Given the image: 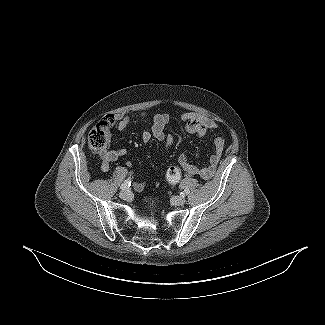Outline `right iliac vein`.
Listing matches in <instances>:
<instances>
[{"mask_svg": "<svg viewBox=\"0 0 325 325\" xmlns=\"http://www.w3.org/2000/svg\"><path fill=\"white\" fill-rule=\"evenodd\" d=\"M120 197H121L123 200H130L131 197H132V195H131L130 191L125 190V191H122V192L120 193Z\"/></svg>", "mask_w": 325, "mask_h": 325, "instance_id": "63e3f726", "label": "right iliac vein"}]
</instances>
